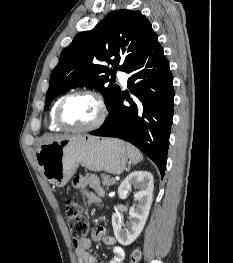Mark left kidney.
<instances>
[{"label": "left kidney", "mask_w": 233, "mask_h": 263, "mask_svg": "<svg viewBox=\"0 0 233 263\" xmlns=\"http://www.w3.org/2000/svg\"><path fill=\"white\" fill-rule=\"evenodd\" d=\"M138 191L134 194L135 204L129 209V221L124 224L120 213L112 215V226L117 241L124 246L134 242L142 232L152 204L154 180L147 171H135L129 174L118 188V195L125 199L131 188Z\"/></svg>", "instance_id": "left-kidney-1"}]
</instances>
